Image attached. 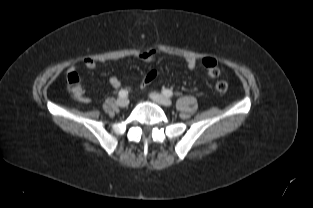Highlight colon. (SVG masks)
I'll return each instance as SVG.
<instances>
[{"label": "colon", "instance_id": "1", "mask_svg": "<svg viewBox=\"0 0 313 208\" xmlns=\"http://www.w3.org/2000/svg\"><path fill=\"white\" fill-rule=\"evenodd\" d=\"M219 73H220V70H219L218 66L211 67L208 70V74L212 78L217 77L219 75ZM156 76H157V71H155V70H151V71L147 72L142 78L143 84L144 85L150 84L156 78ZM72 81L74 82L75 78H72ZM214 88L217 92L223 93V92L227 91V89H228V82L226 80H219L215 83Z\"/></svg>", "mask_w": 313, "mask_h": 208}]
</instances>
